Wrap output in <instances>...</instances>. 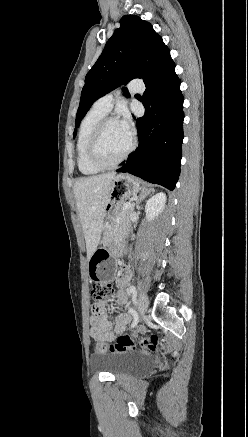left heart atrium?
<instances>
[{"label": "left heart atrium", "mask_w": 248, "mask_h": 437, "mask_svg": "<svg viewBox=\"0 0 248 437\" xmlns=\"http://www.w3.org/2000/svg\"><path fill=\"white\" fill-rule=\"evenodd\" d=\"M123 132L128 136L132 137L133 135V126L131 119L127 113H124L120 121L118 122Z\"/></svg>", "instance_id": "39dd6f15"}]
</instances>
